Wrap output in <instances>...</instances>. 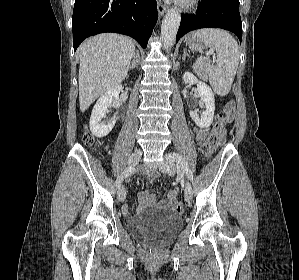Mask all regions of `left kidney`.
<instances>
[{"instance_id":"left-kidney-1","label":"left kidney","mask_w":299,"mask_h":280,"mask_svg":"<svg viewBox=\"0 0 299 280\" xmlns=\"http://www.w3.org/2000/svg\"><path fill=\"white\" fill-rule=\"evenodd\" d=\"M182 79L184 83L197 84V91L201 97V102L205 105V110L200 117L196 111H190V116L198 127L208 128L213 122L215 111L213 91L205 82L199 81L192 73H184Z\"/></svg>"}]
</instances>
